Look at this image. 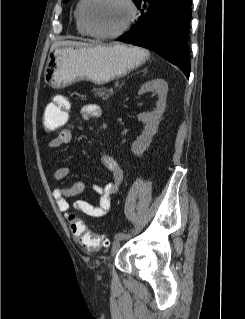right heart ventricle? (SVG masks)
Instances as JSON below:
<instances>
[{
  "mask_svg": "<svg viewBox=\"0 0 245 319\" xmlns=\"http://www.w3.org/2000/svg\"><path fill=\"white\" fill-rule=\"evenodd\" d=\"M83 3H84V0H78L77 5L75 7V11H74V18H75V24H76V29L78 33L83 36H87L89 35V33L86 31L81 20V8Z\"/></svg>",
  "mask_w": 245,
  "mask_h": 319,
  "instance_id": "obj_1",
  "label": "right heart ventricle"
}]
</instances>
